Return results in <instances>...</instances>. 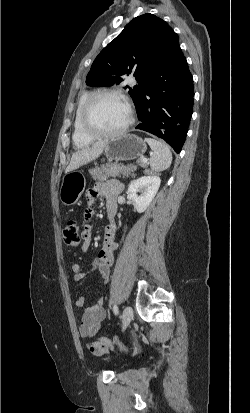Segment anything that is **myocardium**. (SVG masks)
Instances as JSON below:
<instances>
[{
    "instance_id": "myocardium-1",
    "label": "myocardium",
    "mask_w": 250,
    "mask_h": 413,
    "mask_svg": "<svg viewBox=\"0 0 250 413\" xmlns=\"http://www.w3.org/2000/svg\"><path fill=\"white\" fill-rule=\"evenodd\" d=\"M102 96H114L121 99L128 107L129 120L120 129L112 132H102L93 127L90 120V115L95 102ZM135 122V110L127 97L120 91L115 89L97 90L87 98L81 113V128L83 132L93 139H108L123 135L126 133Z\"/></svg>"
}]
</instances>
